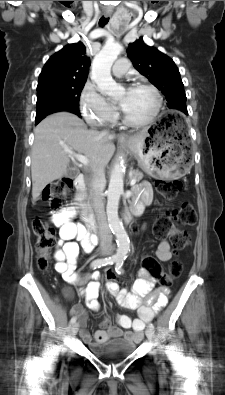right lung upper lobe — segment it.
<instances>
[{
	"mask_svg": "<svg viewBox=\"0 0 225 395\" xmlns=\"http://www.w3.org/2000/svg\"><path fill=\"white\" fill-rule=\"evenodd\" d=\"M82 42L69 44L52 55L39 75L38 85L51 82L86 81L89 58Z\"/></svg>",
	"mask_w": 225,
	"mask_h": 395,
	"instance_id": "obj_1",
	"label": "right lung upper lobe"
}]
</instances>
